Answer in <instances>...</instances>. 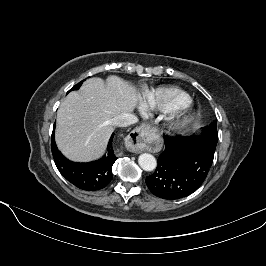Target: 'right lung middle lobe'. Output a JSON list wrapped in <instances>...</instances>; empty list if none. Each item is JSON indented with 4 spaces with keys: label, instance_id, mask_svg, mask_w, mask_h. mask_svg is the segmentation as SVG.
I'll return each instance as SVG.
<instances>
[{
    "label": "right lung middle lobe",
    "instance_id": "1",
    "mask_svg": "<svg viewBox=\"0 0 266 266\" xmlns=\"http://www.w3.org/2000/svg\"><path fill=\"white\" fill-rule=\"evenodd\" d=\"M83 81H84V80H83ZM83 81H81V82H79L78 84H76L75 86H73L68 92H70V91H72V90H75V89H79Z\"/></svg>",
    "mask_w": 266,
    "mask_h": 266
}]
</instances>
